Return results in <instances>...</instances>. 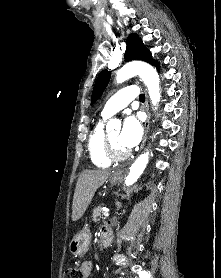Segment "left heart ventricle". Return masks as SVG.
Returning <instances> with one entry per match:
<instances>
[{
  "label": "left heart ventricle",
  "mask_w": 221,
  "mask_h": 278,
  "mask_svg": "<svg viewBox=\"0 0 221 278\" xmlns=\"http://www.w3.org/2000/svg\"><path fill=\"white\" fill-rule=\"evenodd\" d=\"M119 135H120V130H113L111 132H109V136L111 139V142L113 144L114 150L117 153H123L125 151H127L126 148H124L121 143L119 142Z\"/></svg>",
  "instance_id": "b2bd125f"
}]
</instances>
